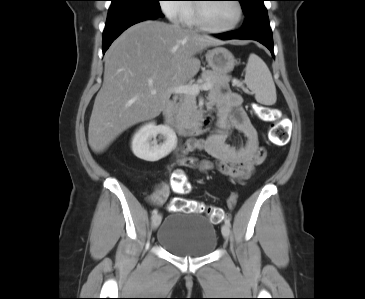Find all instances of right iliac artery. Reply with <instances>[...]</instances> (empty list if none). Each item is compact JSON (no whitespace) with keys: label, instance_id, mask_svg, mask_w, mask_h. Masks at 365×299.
<instances>
[{"label":"right iliac artery","instance_id":"82829eb1","mask_svg":"<svg viewBox=\"0 0 365 299\" xmlns=\"http://www.w3.org/2000/svg\"><path fill=\"white\" fill-rule=\"evenodd\" d=\"M157 213H158V210H157V209H154V210L152 211L153 216H155Z\"/></svg>","mask_w":365,"mask_h":299}]
</instances>
